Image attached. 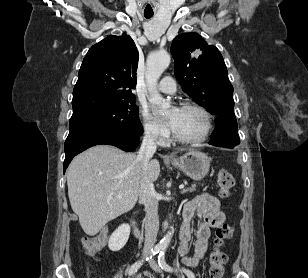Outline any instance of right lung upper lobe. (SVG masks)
Instances as JSON below:
<instances>
[{"mask_svg":"<svg viewBox=\"0 0 308 278\" xmlns=\"http://www.w3.org/2000/svg\"><path fill=\"white\" fill-rule=\"evenodd\" d=\"M139 54L130 36H108L85 56L73 90V115L133 103Z\"/></svg>","mask_w":308,"mask_h":278,"instance_id":"cb5924a9","label":"right lung upper lobe"}]
</instances>
